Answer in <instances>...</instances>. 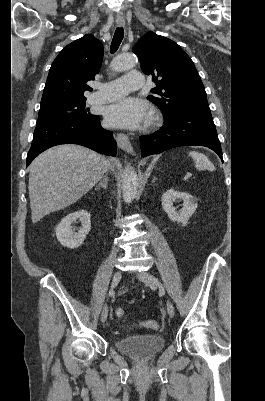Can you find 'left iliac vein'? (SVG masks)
<instances>
[{
	"mask_svg": "<svg viewBox=\"0 0 265 401\" xmlns=\"http://www.w3.org/2000/svg\"><path fill=\"white\" fill-rule=\"evenodd\" d=\"M137 277L140 281H142L144 283H149L151 287L158 288L160 286V284L155 281V279H157V278H155L154 275L149 272L137 273ZM162 292H164V291H162ZM166 308H167V312H168L169 316L173 317L174 316V306L170 300H167Z\"/></svg>",
	"mask_w": 265,
	"mask_h": 401,
	"instance_id": "obj_1",
	"label": "left iliac vein"
}]
</instances>
